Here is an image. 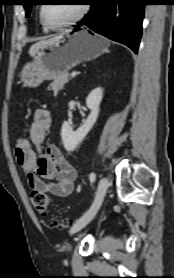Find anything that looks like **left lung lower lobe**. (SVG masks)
I'll use <instances>...</instances> for the list:
<instances>
[{"label":"left lung lower lobe","mask_w":174,"mask_h":278,"mask_svg":"<svg viewBox=\"0 0 174 278\" xmlns=\"http://www.w3.org/2000/svg\"><path fill=\"white\" fill-rule=\"evenodd\" d=\"M91 10L77 27L86 25L94 32L123 43L135 53L142 34L146 0H89Z\"/></svg>","instance_id":"obj_1"}]
</instances>
